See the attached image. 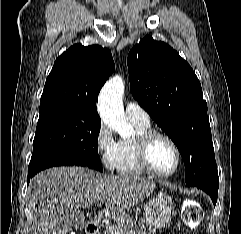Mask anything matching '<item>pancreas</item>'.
<instances>
[{
    "mask_svg": "<svg viewBox=\"0 0 241 234\" xmlns=\"http://www.w3.org/2000/svg\"><path fill=\"white\" fill-rule=\"evenodd\" d=\"M103 234H132V233L126 232L125 229L119 225L110 224L103 231ZM140 234H147V233L143 231Z\"/></svg>",
    "mask_w": 241,
    "mask_h": 234,
    "instance_id": "pancreas-1",
    "label": "pancreas"
}]
</instances>
